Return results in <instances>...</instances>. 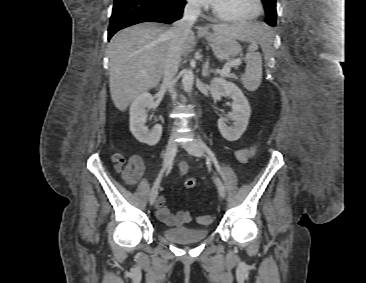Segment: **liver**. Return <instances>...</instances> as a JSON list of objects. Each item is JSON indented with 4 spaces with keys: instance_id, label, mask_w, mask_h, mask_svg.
Masks as SVG:
<instances>
[{
    "instance_id": "6515ba94",
    "label": "liver",
    "mask_w": 366,
    "mask_h": 283,
    "mask_svg": "<svg viewBox=\"0 0 366 283\" xmlns=\"http://www.w3.org/2000/svg\"><path fill=\"white\" fill-rule=\"evenodd\" d=\"M170 27L145 22L123 29L108 44L110 57L109 87L114 105L125 111L129 104L144 91L155 88L163 75L164 61L170 44ZM212 30L239 41H257L263 45L270 30L250 22L217 24ZM195 41L191 31L182 47L187 56Z\"/></svg>"
}]
</instances>
